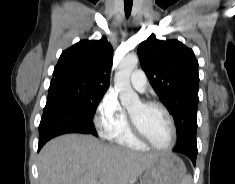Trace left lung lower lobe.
I'll return each instance as SVG.
<instances>
[{
	"instance_id": "0a47b994",
	"label": "left lung lower lobe",
	"mask_w": 235,
	"mask_h": 184,
	"mask_svg": "<svg viewBox=\"0 0 235 184\" xmlns=\"http://www.w3.org/2000/svg\"><path fill=\"white\" fill-rule=\"evenodd\" d=\"M173 151L187 155L191 159L193 164H196L197 148L194 149L190 147H176L173 149Z\"/></svg>"
}]
</instances>
